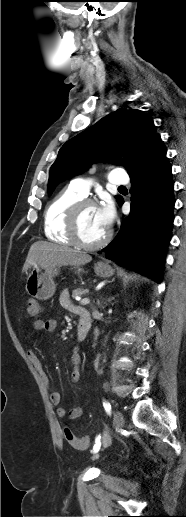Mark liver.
<instances>
[{
    "label": "liver",
    "instance_id": "6515ba94",
    "mask_svg": "<svg viewBox=\"0 0 186 517\" xmlns=\"http://www.w3.org/2000/svg\"><path fill=\"white\" fill-rule=\"evenodd\" d=\"M91 260L92 257L85 252L77 251L66 246L38 241L30 247L22 272H27L31 267L80 266L89 263Z\"/></svg>",
    "mask_w": 186,
    "mask_h": 517
}]
</instances>
